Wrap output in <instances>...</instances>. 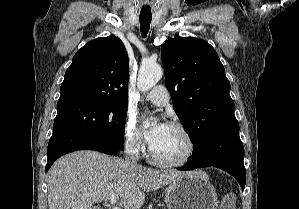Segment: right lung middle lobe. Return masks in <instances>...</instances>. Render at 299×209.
<instances>
[{"instance_id":"obj_1","label":"right lung middle lobe","mask_w":299,"mask_h":209,"mask_svg":"<svg viewBox=\"0 0 299 209\" xmlns=\"http://www.w3.org/2000/svg\"><path fill=\"white\" fill-rule=\"evenodd\" d=\"M127 104L68 102L57 105L53 127L67 125L93 134L124 139Z\"/></svg>"}]
</instances>
